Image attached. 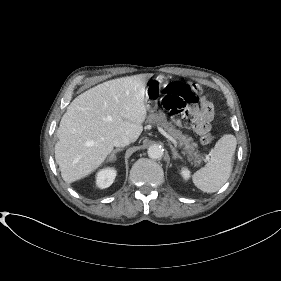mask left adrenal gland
Returning a JSON list of instances; mask_svg holds the SVG:
<instances>
[{"instance_id":"obj_1","label":"left adrenal gland","mask_w":281,"mask_h":281,"mask_svg":"<svg viewBox=\"0 0 281 281\" xmlns=\"http://www.w3.org/2000/svg\"><path fill=\"white\" fill-rule=\"evenodd\" d=\"M170 148H171V151H172V158L173 159H182V157L178 154L177 150L170 144Z\"/></svg>"}]
</instances>
